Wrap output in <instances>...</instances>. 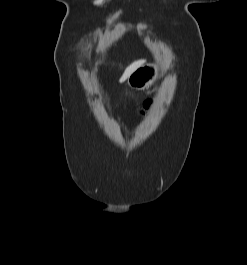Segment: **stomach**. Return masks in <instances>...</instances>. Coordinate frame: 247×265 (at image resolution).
<instances>
[{
  "instance_id": "obj_1",
  "label": "stomach",
  "mask_w": 247,
  "mask_h": 265,
  "mask_svg": "<svg viewBox=\"0 0 247 265\" xmlns=\"http://www.w3.org/2000/svg\"><path fill=\"white\" fill-rule=\"evenodd\" d=\"M161 76L157 64H145L136 69L127 79L131 89L144 90L151 87Z\"/></svg>"
}]
</instances>
